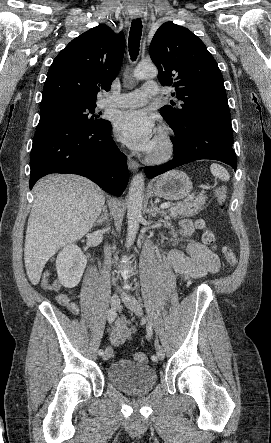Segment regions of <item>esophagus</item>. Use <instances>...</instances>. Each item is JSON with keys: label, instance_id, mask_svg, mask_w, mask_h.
I'll list each match as a JSON object with an SVG mask.
<instances>
[{"label": "esophagus", "instance_id": "obj_1", "mask_svg": "<svg viewBox=\"0 0 271 443\" xmlns=\"http://www.w3.org/2000/svg\"><path fill=\"white\" fill-rule=\"evenodd\" d=\"M141 15H131V18L135 20L136 18H140ZM128 168L131 172L135 173L138 171L139 163L133 160V158L128 157Z\"/></svg>", "mask_w": 271, "mask_h": 443}]
</instances>
